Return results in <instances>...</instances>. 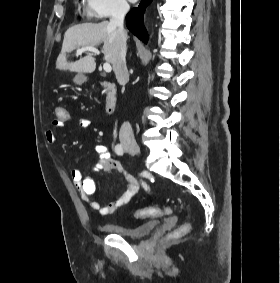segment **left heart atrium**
<instances>
[{
    "instance_id": "1",
    "label": "left heart atrium",
    "mask_w": 280,
    "mask_h": 283,
    "mask_svg": "<svg viewBox=\"0 0 280 283\" xmlns=\"http://www.w3.org/2000/svg\"><path fill=\"white\" fill-rule=\"evenodd\" d=\"M131 2H136L137 0H130Z\"/></svg>"
}]
</instances>
